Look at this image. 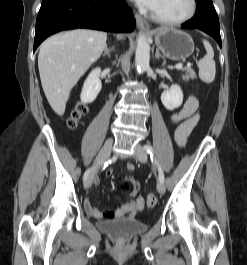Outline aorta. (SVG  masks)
<instances>
[{
	"instance_id": "1",
	"label": "aorta",
	"mask_w": 247,
	"mask_h": 265,
	"mask_svg": "<svg viewBox=\"0 0 247 265\" xmlns=\"http://www.w3.org/2000/svg\"><path fill=\"white\" fill-rule=\"evenodd\" d=\"M150 48L147 38L140 34L137 40L135 63L139 72H144L149 67Z\"/></svg>"
}]
</instances>
